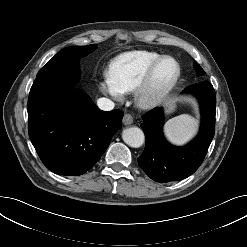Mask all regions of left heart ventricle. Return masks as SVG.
Wrapping results in <instances>:
<instances>
[{
  "mask_svg": "<svg viewBox=\"0 0 247 247\" xmlns=\"http://www.w3.org/2000/svg\"><path fill=\"white\" fill-rule=\"evenodd\" d=\"M176 67L172 61H163L156 70L153 84L155 87H161L168 83L174 76Z\"/></svg>",
  "mask_w": 247,
  "mask_h": 247,
  "instance_id": "1",
  "label": "left heart ventricle"
}]
</instances>
